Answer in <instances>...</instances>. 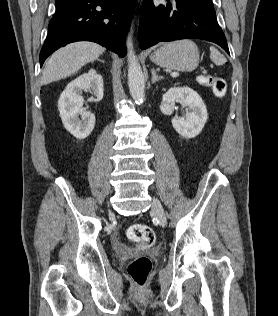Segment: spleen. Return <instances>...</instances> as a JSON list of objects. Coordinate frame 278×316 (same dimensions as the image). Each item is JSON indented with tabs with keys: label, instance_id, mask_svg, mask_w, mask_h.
Returning a JSON list of instances; mask_svg holds the SVG:
<instances>
[{
	"label": "spleen",
	"instance_id": "obj_1",
	"mask_svg": "<svg viewBox=\"0 0 278 316\" xmlns=\"http://www.w3.org/2000/svg\"><path fill=\"white\" fill-rule=\"evenodd\" d=\"M210 59L216 65H223L226 63L225 57L215 47H210Z\"/></svg>",
	"mask_w": 278,
	"mask_h": 316
}]
</instances>
